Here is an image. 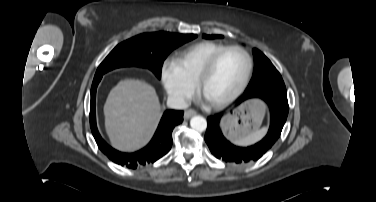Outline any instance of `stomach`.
<instances>
[{
  "instance_id": "stomach-1",
  "label": "stomach",
  "mask_w": 376,
  "mask_h": 202,
  "mask_svg": "<svg viewBox=\"0 0 376 202\" xmlns=\"http://www.w3.org/2000/svg\"><path fill=\"white\" fill-rule=\"evenodd\" d=\"M263 116L262 106L250 103L229 113L223 121V127L229 138L238 141L256 132L261 125Z\"/></svg>"
}]
</instances>
